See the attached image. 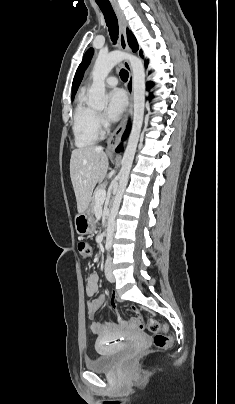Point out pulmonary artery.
<instances>
[{
  "mask_svg": "<svg viewBox=\"0 0 235 404\" xmlns=\"http://www.w3.org/2000/svg\"><path fill=\"white\" fill-rule=\"evenodd\" d=\"M118 83V79L115 76H109L105 80V84L109 87H114Z\"/></svg>",
  "mask_w": 235,
  "mask_h": 404,
  "instance_id": "1",
  "label": "pulmonary artery"
}]
</instances>
